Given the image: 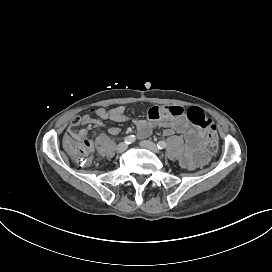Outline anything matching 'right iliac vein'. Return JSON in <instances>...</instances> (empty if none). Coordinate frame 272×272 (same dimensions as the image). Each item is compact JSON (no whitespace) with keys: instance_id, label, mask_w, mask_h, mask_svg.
I'll return each instance as SVG.
<instances>
[{"instance_id":"63e3f726","label":"right iliac vein","mask_w":272,"mask_h":272,"mask_svg":"<svg viewBox=\"0 0 272 272\" xmlns=\"http://www.w3.org/2000/svg\"><path fill=\"white\" fill-rule=\"evenodd\" d=\"M127 148H128V145L126 143H120L117 146V152L122 153V152L126 151Z\"/></svg>"}]
</instances>
